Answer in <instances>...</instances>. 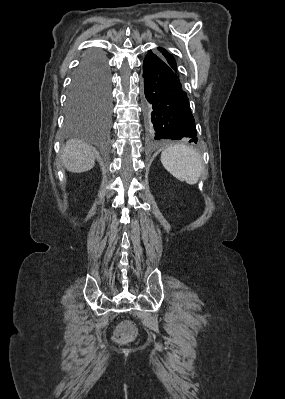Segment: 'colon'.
<instances>
[{"instance_id":"5ec220e1","label":"colon","mask_w":285,"mask_h":399,"mask_svg":"<svg viewBox=\"0 0 285 399\" xmlns=\"http://www.w3.org/2000/svg\"><path fill=\"white\" fill-rule=\"evenodd\" d=\"M137 334L136 327L133 324H122L118 327L116 332V339L118 341L132 340Z\"/></svg>"}]
</instances>
